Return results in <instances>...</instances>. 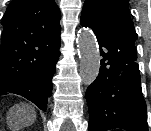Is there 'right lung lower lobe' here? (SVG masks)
Instances as JSON below:
<instances>
[{"instance_id": "98d812e1", "label": "right lung lower lobe", "mask_w": 151, "mask_h": 131, "mask_svg": "<svg viewBox=\"0 0 151 131\" xmlns=\"http://www.w3.org/2000/svg\"><path fill=\"white\" fill-rule=\"evenodd\" d=\"M59 48L60 42L55 44L48 52L47 63L41 70L11 85L5 90H0V96L10 93L21 95L45 111L48 98L52 93V77L60 56Z\"/></svg>"}]
</instances>
